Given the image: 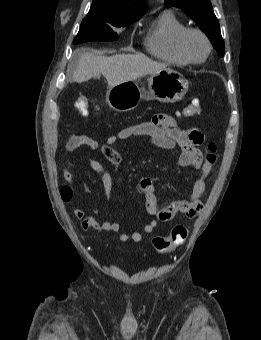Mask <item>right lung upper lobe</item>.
Instances as JSON below:
<instances>
[{
	"mask_svg": "<svg viewBox=\"0 0 261 340\" xmlns=\"http://www.w3.org/2000/svg\"><path fill=\"white\" fill-rule=\"evenodd\" d=\"M146 0H93L90 10L101 11L111 16L141 18Z\"/></svg>",
	"mask_w": 261,
	"mask_h": 340,
	"instance_id": "cb5924a9",
	"label": "right lung upper lobe"
}]
</instances>
